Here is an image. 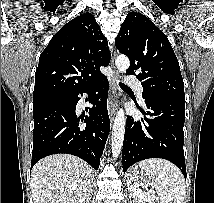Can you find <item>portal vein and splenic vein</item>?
<instances>
[{"label":"portal vein and splenic vein","instance_id":"obj_1","mask_svg":"<svg viewBox=\"0 0 214 203\" xmlns=\"http://www.w3.org/2000/svg\"><path fill=\"white\" fill-rule=\"evenodd\" d=\"M135 195H137L140 199H145V200H153L155 197L154 195L147 197L145 193H143L142 191L138 190V189H133Z\"/></svg>","mask_w":214,"mask_h":203}]
</instances>
